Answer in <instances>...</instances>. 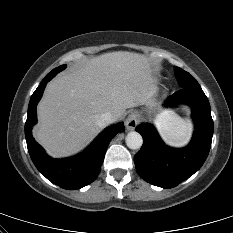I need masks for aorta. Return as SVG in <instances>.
Returning a JSON list of instances; mask_svg holds the SVG:
<instances>
[{
	"label": "aorta",
	"instance_id": "1",
	"mask_svg": "<svg viewBox=\"0 0 233 233\" xmlns=\"http://www.w3.org/2000/svg\"><path fill=\"white\" fill-rule=\"evenodd\" d=\"M143 144L142 136L136 132L131 131L126 136V145L133 150L139 149Z\"/></svg>",
	"mask_w": 233,
	"mask_h": 233
}]
</instances>
